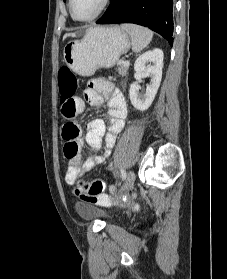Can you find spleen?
I'll list each match as a JSON object with an SVG mask.
<instances>
[{
  "mask_svg": "<svg viewBox=\"0 0 227 279\" xmlns=\"http://www.w3.org/2000/svg\"><path fill=\"white\" fill-rule=\"evenodd\" d=\"M121 28L131 37L132 51L139 53L151 42L153 32L147 28L134 25L122 24Z\"/></svg>",
  "mask_w": 227,
  "mask_h": 279,
  "instance_id": "1",
  "label": "spleen"
}]
</instances>
